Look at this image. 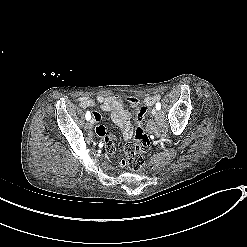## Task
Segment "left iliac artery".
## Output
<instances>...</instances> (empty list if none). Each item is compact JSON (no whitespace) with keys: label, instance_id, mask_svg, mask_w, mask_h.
Instances as JSON below:
<instances>
[{"label":"left iliac artery","instance_id":"obj_1","mask_svg":"<svg viewBox=\"0 0 247 247\" xmlns=\"http://www.w3.org/2000/svg\"><path fill=\"white\" fill-rule=\"evenodd\" d=\"M156 109L157 110H160L161 109V104L159 102L156 104Z\"/></svg>","mask_w":247,"mask_h":247}]
</instances>
